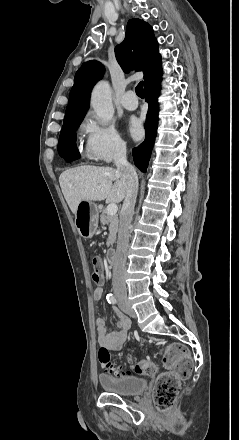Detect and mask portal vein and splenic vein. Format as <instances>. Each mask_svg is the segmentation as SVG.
<instances>
[{
	"label": "portal vein and splenic vein",
	"instance_id": "1",
	"mask_svg": "<svg viewBox=\"0 0 239 440\" xmlns=\"http://www.w3.org/2000/svg\"><path fill=\"white\" fill-rule=\"evenodd\" d=\"M107 214H109V216H115V214H117V204H108L107 208Z\"/></svg>",
	"mask_w": 239,
	"mask_h": 440
}]
</instances>
